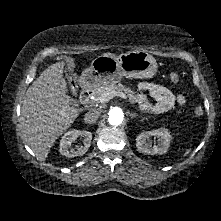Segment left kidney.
Instances as JSON below:
<instances>
[{
  "instance_id": "1",
  "label": "left kidney",
  "mask_w": 221,
  "mask_h": 221,
  "mask_svg": "<svg viewBox=\"0 0 221 221\" xmlns=\"http://www.w3.org/2000/svg\"><path fill=\"white\" fill-rule=\"evenodd\" d=\"M157 138V145L152 146L151 142H148L150 137ZM171 135L170 132L165 128H160L148 132L139 134L136 138V146L138 150L144 154H164L170 145Z\"/></svg>"
}]
</instances>
